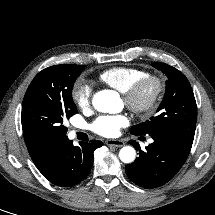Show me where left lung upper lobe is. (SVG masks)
Wrapping results in <instances>:
<instances>
[{
  "label": "left lung upper lobe",
  "mask_w": 215,
  "mask_h": 215,
  "mask_svg": "<svg viewBox=\"0 0 215 215\" xmlns=\"http://www.w3.org/2000/svg\"><path fill=\"white\" fill-rule=\"evenodd\" d=\"M153 67L168 78L164 98L157 115L146 122L135 125L130 132L134 135H173L192 144L197 120V106L188 79L176 68L154 62Z\"/></svg>",
  "instance_id": "5c2ea615"
}]
</instances>
